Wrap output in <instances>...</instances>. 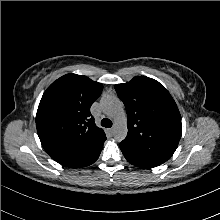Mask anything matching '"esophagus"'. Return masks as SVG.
Here are the masks:
<instances>
[{"label": "esophagus", "instance_id": "esophagus-1", "mask_svg": "<svg viewBox=\"0 0 220 220\" xmlns=\"http://www.w3.org/2000/svg\"><path fill=\"white\" fill-rule=\"evenodd\" d=\"M109 132L112 134L114 132V128H110Z\"/></svg>", "mask_w": 220, "mask_h": 220}]
</instances>
